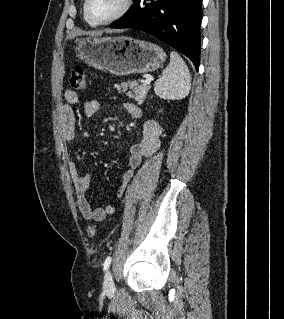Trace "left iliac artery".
Masks as SVG:
<instances>
[{"mask_svg": "<svg viewBox=\"0 0 284 319\" xmlns=\"http://www.w3.org/2000/svg\"><path fill=\"white\" fill-rule=\"evenodd\" d=\"M111 260H112V258H111L110 256H108V257L105 259L104 264H103V270H104V271H106V270L109 268V266H110V264H111Z\"/></svg>", "mask_w": 284, "mask_h": 319, "instance_id": "1", "label": "left iliac artery"}]
</instances>
